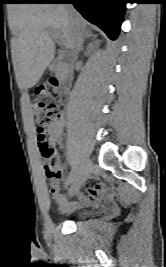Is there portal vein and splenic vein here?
<instances>
[{
	"label": "portal vein and splenic vein",
	"instance_id": "1",
	"mask_svg": "<svg viewBox=\"0 0 166 267\" xmlns=\"http://www.w3.org/2000/svg\"><path fill=\"white\" fill-rule=\"evenodd\" d=\"M50 34L56 38L59 41V44H63L62 37L60 36V33L54 29L49 30Z\"/></svg>",
	"mask_w": 166,
	"mask_h": 267
}]
</instances>
